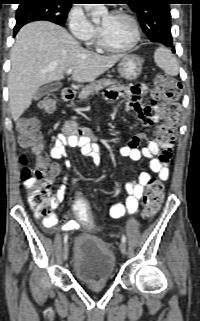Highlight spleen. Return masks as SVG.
I'll list each match as a JSON object with an SVG mask.
<instances>
[{"mask_svg":"<svg viewBox=\"0 0 200 321\" xmlns=\"http://www.w3.org/2000/svg\"><path fill=\"white\" fill-rule=\"evenodd\" d=\"M154 61L166 75L177 76L179 72L178 62L171 51L163 46L158 47L154 52Z\"/></svg>","mask_w":200,"mask_h":321,"instance_id":"3e777b00","label":"spleen"}]
</instances>
